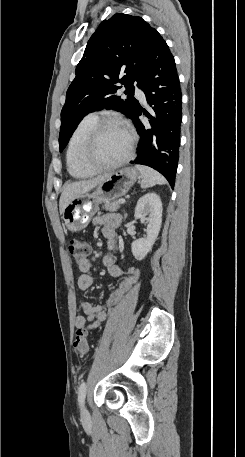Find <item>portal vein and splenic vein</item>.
<instances>
[{
    "mask_svg": "<svg viewBox=\"0 0 245 457\" xmlns=\"http://www.w3.org/2000/svg\"><path fill=\"white\" fill-rule=\"evenodd\" d=\"M118 202H125V198H119Z\"/></svg>",
    "mask_w": 245,
    "mask_h": 457,
    "instance_id": "obj_1",
    "label": "portal vein and splenic vein"
}]
</instances>
